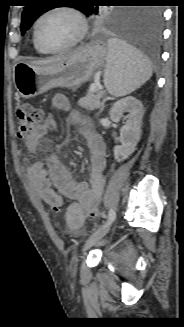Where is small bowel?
<instances>
[{
	"instance_id": "obj_1",
	"label": "small bowel",
	"mask_w": 184,
	"mask_h": 327,
	"mask_svg": "<svg viewBox=\"0 0 184 327\" xmlns=\"http://www.w3.org/2000/svg\"><path fill=\"white\" fill-rule=\"evenodd\" d=\"M52 106L70 110L69 100L64 95H56L52 99ZM71 121L80 125L90 150L88 181H75L56 155L48 156L44 163L32 164L28 168L27 178L36 196L46 204L56 203L62 209L64 199H68L70 203L65 211L66 222L71 229H78L89 216V211L97 212V201L105 185L103 172L106 167V146L88 122L82 121L75 113L71 114ZM56 129L57 122L49 115L34 135L26 140V148L30 152L36 151L42 137Z\"/></svg>"
}]
</instances>
